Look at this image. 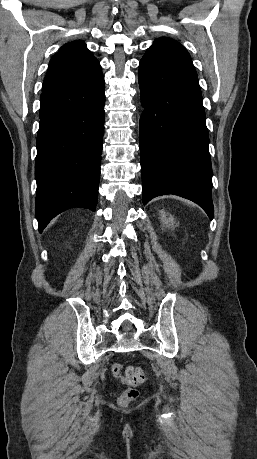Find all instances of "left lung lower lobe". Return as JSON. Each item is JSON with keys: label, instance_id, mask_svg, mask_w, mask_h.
Returning <instances> with one entry per match:
<instances>
[{"label": "left lung lower lobe", "instance_id": "1", "mask_svg": "<svg viewBox=\"0 0 257 459\" xmlns=\"http://www.w3.org/2000/svg\"><path fill=\"white\" fill-rule=\"evenodd\" d=\"M138 80L146 108L139 124L143 203L175 194L200 205L212 219L209 135L190 57L145 54Z\"/></svg>", "mask_w": 257, "mask_h": 459}]
</instances>
